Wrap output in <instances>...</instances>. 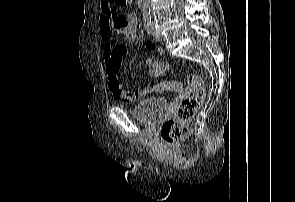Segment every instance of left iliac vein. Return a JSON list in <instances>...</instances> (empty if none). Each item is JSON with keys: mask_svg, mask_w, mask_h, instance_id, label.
Listing matches in <instances>:
<instances>
[{"mask_svg": "<svg viewBox=\"0 0 295 202\" xmlns=\"http://www.w3.org/2000/svg\"><path fill=\"white\" fill-rule=\"evenodd\" d=\"M151 27H152L153 34H154L155 39L157 41H161L162 40V34H161V32L155 28L154 23H151Z\"/></svg>", "mask_w": 295, "mask_h": 202, "instance_id": "4c4485c4", "label": "left iliac vein"}]
</instances>
